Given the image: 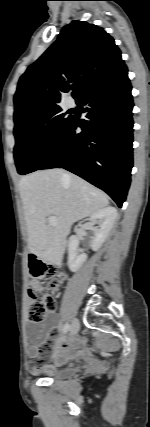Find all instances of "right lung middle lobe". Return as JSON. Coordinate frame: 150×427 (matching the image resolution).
Listing matches in <instances>:
<instances>
[{"label":"right lung middle lobe","instance_id":"obj_1","mask_svg":"<svg viewBox=\"0 0 150 427\" xmlns=\"http://www.w3.org/2000/svg\"><path fill=\"white\" fill-rule=\"evenodd\" d=\"M60 106L29 114L15 122L14 158L18 173L33 172L49 156L71 122Z\"/></svg>","mask_w":150,"mask_h":427}]
</instances>
